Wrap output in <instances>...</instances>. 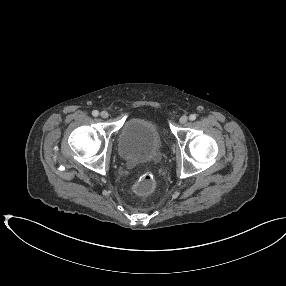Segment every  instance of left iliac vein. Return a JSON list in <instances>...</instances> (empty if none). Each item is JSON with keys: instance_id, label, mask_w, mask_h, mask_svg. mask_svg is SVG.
I'll use <instances>...</instances> for the list:
<instances>
[{"instance_id": "obj_1", "label": "left iliac vein", "mask_w": 286, "mask_h": 286, "mask_svg": "<svg viewBox=\"0 0 286 286\" xmlns=\"http://www.w3.org/2000/svg\"><path fill=\"white\" fill-rule=\"evenodd\" d=\"M181 124H185L188 121V117L186 115H183L179 119Z\"/></svg>"}]
</instances>
